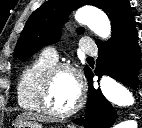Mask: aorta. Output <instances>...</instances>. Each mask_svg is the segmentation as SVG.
Segmentation results:
<instances>
[{"label": "aorta", "mask_w": 142, "mask_h": 128, "mask_svg": "<svg viewBox=\"0 0 142 128\" xmlns=\"http://www.w3.org/2000/svg\"><path fill=\"white\" fill-rule=\"evenodd\" d=\"M75 19L91 29L102 39H108L111 35V24L105 13L92 7H82L76 14ZM100 88L103 96L112 104L118 106H130L134 104V97L123 85L108 76L100 80ZM116 128H137L135 120L123 121Z\"/></svg>", "instance_id": "obj_1"}]
</instances>
